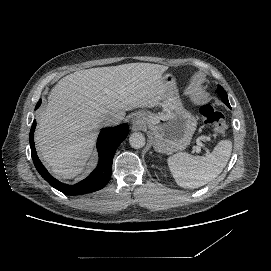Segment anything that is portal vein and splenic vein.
Here are the masks:
<instances>
[{
  "label": "portal vein and splenic vein",
  "mask_w": 271,
  "mask_h": 271,
  "mask_svg": "<svg viewBox=\"0 0 271 271\" xmlns=\"http://www.w3.org/2000/svg\"><path fill=\"white\" fill-rule=\"evenodd\" d=\"M201 148H202L207 154H210V150H209L207 147H205L203 144H200V145L195 144V145H193L192 150H193V152H195V153H200Z\"/></svg>",
  "instance_id": "obj_1"
}]
</instances>
